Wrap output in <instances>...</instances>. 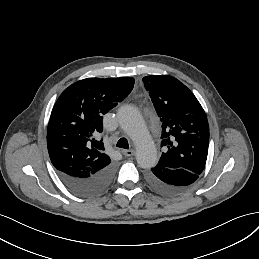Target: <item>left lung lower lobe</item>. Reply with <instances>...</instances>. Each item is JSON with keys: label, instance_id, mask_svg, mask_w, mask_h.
Here are the masks:
<instances>
[{"label": "left lung lower lobe", "instance_id": "1", "mask_svg": "<svg viewBox=\"0 0 259 259\" xmlns=\"http://www.w3.org/2000/svg\"><path fill=\"white\" fill-rule=\"evenodd\" d=\"M199 175L184 169H157L147 173V182L155 190L167 195H178L188 190Z\"/></svg>", "mask_w": 259, "mask_h": 259}]
</instances>
